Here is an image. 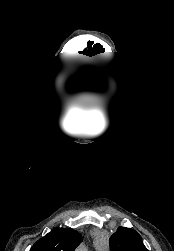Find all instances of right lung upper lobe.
Returning a JSON list of instances; mask_svg holds the SVG:
<instances>
[{"label":"right lung upper lobe","instance_id":"obj_1","mask_svg":"<svg viewBox=\"0 0 174 251\" xmlns=\"http://www.w3.org/2000/svg\"><path fill=\"white\" fill-rule=\"evenodd\" d=\"M82 236L75 230L55 228L39 239L30 251H74Z\"/></svg>","mask_w":174,"mask_h":251}]
</instances>
